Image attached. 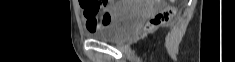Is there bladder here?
I'll use <instances>...</instances> for the list:
<instances>
[{
    "label": "bladder",
    "mask_w": 235,
    "mask_h": 62,
    "mask_svg": "<svg viewBox=\"0 0 235 62\" xmlns=\"http://www.w3.org/2000/svg\"><path fill=\"white\" fill-rule=\"evenodd\" d=\"M114 14L115 16L108 23L88 31L87 36L104 42L122 41L139 21L141 7L134 1H128Z\"/></svg>",
    "instance_id": "bladder-1"
}]
</instances>
